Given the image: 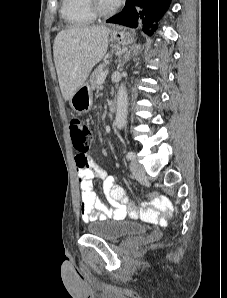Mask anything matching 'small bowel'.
I'll return each instance as SVG.
<instances>
[{
  "label": "small bowel",
  "instance_id": "c3829d8e",
  "mask_svg": "<svg viewBox=\"0 0 227 298\" xmlns=\"http://www.w3.org/2000/svg\"><path fill=\"white\" fill-rule=\"evenodd\" d=\"M76 172L81 190L80 213L85 222L113 218L122 220L128 215L141 217L161 224L165 220L160 216V210L146 206L145 209L137 210L128 205L124 188L117 183L113 175L100 168L95 161L87 155V150H76ZM98 178L103 183V192L108 198L111 207L104 206L93 190V180Z\"/></svg>",
  "mask_w": 227,
  "mask_h": 298
}]
</instances>
